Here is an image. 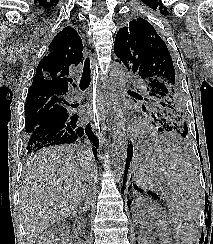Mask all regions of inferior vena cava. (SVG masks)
Returning <instances> with one entry per match:
<instances>
[{"label": "inferior vena cava", "mask_w": 213, "mask_h": 244, "mask_svg": "<svg viewBox=\"0 0 213 244\" xmlns=\"http://www.w3.org/2000/svg\"><path fill=\"white\" fill-rule=\"evenodd\" d=\"M90 189L91 188L89 187L88 190L85 193V198H84V206L85 207H88L91 204V201H92V194H91Z\"/></svg>", "instance_id": "obj_1"}]
</instances>
